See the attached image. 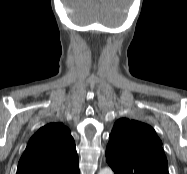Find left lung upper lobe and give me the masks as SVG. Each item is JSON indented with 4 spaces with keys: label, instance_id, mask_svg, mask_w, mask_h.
Masks as SVG:
<instances>
[{
    "label": "left lung upper lobe",
    "instance_id": "1",
    "mask_svg": "<svg viewBox=\"0 0 187 174\" xmlns=\"http://www.w3.org/2000/svg\"><path fill=\"white\" fill-rule=\"evenodd\" d=\"M106 147V161L115 174H168L162 142L144 123L119 119Z\"/></svg>",
    "mask_w": 187,
    "mask_h": 174
}]
</instances>
